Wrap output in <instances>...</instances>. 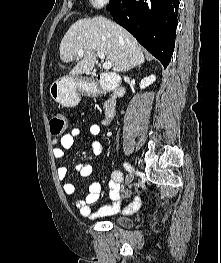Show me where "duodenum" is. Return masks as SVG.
<instances>
[{"label":"duodenum","instance_id":"duodenum-1","mask_svg":"<svg viewBox=\"0 0 221 263\" xmlns=\"http://www.w3.org/2000/svg\"><path fill=\"white\" fill-rule=\"evenodd\" d=\"M96 80L101 87L112 92V96L107 99L104 106V117L111 118L116 110V102L124 95L123 89L120 87V81L114 73H98Z\"/></svg>","mask_w":221,"mask_h":263}]
</instances>
